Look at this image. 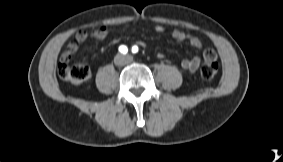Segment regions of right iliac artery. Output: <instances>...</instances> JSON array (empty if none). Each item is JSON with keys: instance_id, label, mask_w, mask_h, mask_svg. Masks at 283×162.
<instances>
[{"instance_id": "1", "label": "right iliac artery", "mask_w": 283, "mask_h": 162, "mask_svg": "<svg viewBox=\"0 0 283 162\" xmlns=\"http://www.w3.org/2000/svg\"><path fill=\"white\" fill-rule=\"evenodd\" d=\"M119 51L122 53V54H126L128 52V48L125 46V45H121L119 47Z\"/></svg>"}]
</instances>
